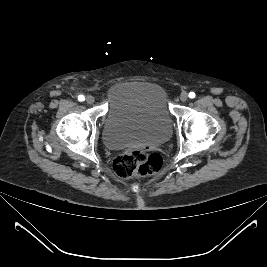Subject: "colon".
Masks as SVG:
<instances>
[{
  "mask_svg": "<svg viewBox=\"0 0 267 267\" xmlns=\"http://www.w3.org/2000/svg\"><path fill=\"white\" fill-rule=\"evenodd\" d=\"M162 166L161 155L146 149H136L119 155L113 162L114 173L123 179L155 175Z\"/></svg>",
  "mask_w": 267,
  "mask_h": 267,
  "instance_id": "colon-1",
  "label": "colon"
}]
</instances>
